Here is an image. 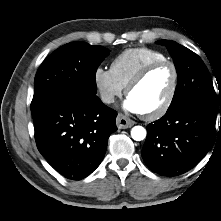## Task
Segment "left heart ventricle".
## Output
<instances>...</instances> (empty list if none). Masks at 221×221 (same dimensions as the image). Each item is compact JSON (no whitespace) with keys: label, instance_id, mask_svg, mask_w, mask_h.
Listing matches in <instances>:
<instances>
[{"label":"left heart ventricle","instance_id":"1","mask_svg":"<svg viewBox=\"0 0 221 221\" xmlns=\"http://www.w3.org/2000/svg\"><path fill=\"white\" fill-rule=\"evenodd\" d=\"M173 72L164 65L153 70L129 95L139 105L142 113L158 108L171 88Z\"/></svg>","mask_w":221,"mask_h":221}]
</instances>
